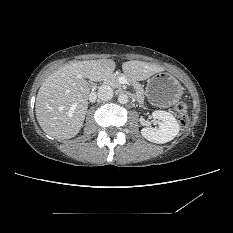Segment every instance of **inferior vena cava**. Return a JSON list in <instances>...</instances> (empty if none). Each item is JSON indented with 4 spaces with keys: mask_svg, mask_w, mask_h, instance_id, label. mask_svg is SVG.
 <instances>
[{
    "mask_svg": "<svg viewBox=\"0 0 233 233\" xmlns=\"http://www.w3.org/2000/svg\"><path fill=\"white\" fill-rule=\"evenodd\" d=\"M97 97L103 101L110 100L113 97V90L107 85H102L98 88Z\"/></svg>",
    "mask_w": 233,
    "mask_h": 233,
    "instance_id": "obj_1",
    "label": "inferior vena cava"
}]
</instances>
